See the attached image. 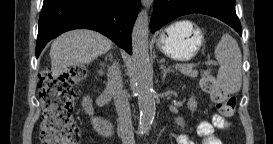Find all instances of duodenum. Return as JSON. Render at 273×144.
<instances>
[{"label":"duodenum","instance_id":"410a0bca","mask_svg":"<svg viewBox=\"0 0 273 144\" xmlns=\"http://www.w3.org/2000/svg\"><path fill=\"white\" fill-rule=\"evenodd\" d=\"M91 124L94 130L103 137H110L114 134V128L111 121L102 114H93L91 116Z\"/></svg>","mask_w":273,"mask_h":144}]
</instances>
